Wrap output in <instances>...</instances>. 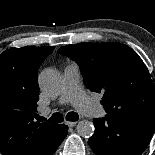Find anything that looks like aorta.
<instances>
[{
  "label": "aorta",
  "instance_id": "1",
  "mask_svg": "<svg viewBox=\"0 0 155 155\" xmlns=\"http://www.w3.org/2000/svg\"><path fill=\"white\" fill-rule=\"evenodd\" d=\"M40 87L50 95H57L62 87L63 80L59 71L53 68L44 69L39 76ZM77 132L81 137L90 138L94 133V126L87 120L77 124Z\"/></svg>",
  "mask_w": 155,
  "mask_h": 155
}]
</instances>
